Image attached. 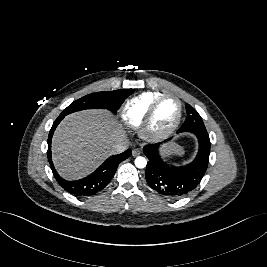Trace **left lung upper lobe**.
I'll list each match as a JSON object with an SVG mask.
<instances>
[{
	"label": "left lung upper lobe",
	"instance_id": "5c2ea615",
	"mask_svg": "<svg viewBox=\"0 0 267 267\" xmlns=\"http://www.w3.org/2000/svg\"><path fill=\"white\" fill-rule=\"evenodd\" d=\"M185 107L187 112V118L183 125L179 128L178 133L191 130L207 131L199 113L189 104H186Z\"/></svg>",
	"mask_w": 267,
	"mask_h": 267
}]
</instances>
